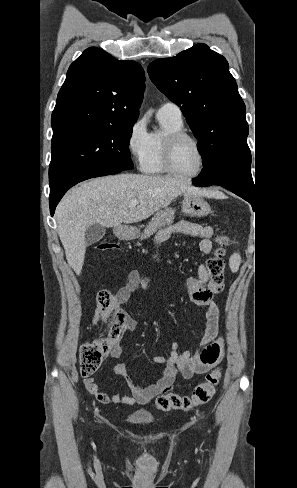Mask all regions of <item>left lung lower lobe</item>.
Returning a JSON list of instances; mask_svg holds the SVG:
<instances>
[{"mask_svg":"<svg viewBox=\"0 0 297 488\" xmlns=\"http://www.w3.org/2000/svg\"><path fill=\"white\" fill-rule=\"evenodd\" d=\"M193 181H194L193 184L195 186H200L195 181V179H193ZM217 185L223 186V187L229 189L230 191H232L236 195L242 197L243 199H245L246 201H248L251 204H253V202H254V193L253 192H250L248 190H245V189H243L241 187H238V186H235V185H232V184H229V183H221V184H217Z\"/></svg>","mask_w":297,"mask_h":488,"instance_id":"0a47b994","label":"left lung lower lobe"}]
</instances>
